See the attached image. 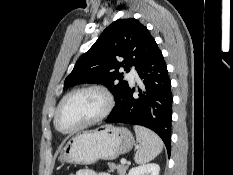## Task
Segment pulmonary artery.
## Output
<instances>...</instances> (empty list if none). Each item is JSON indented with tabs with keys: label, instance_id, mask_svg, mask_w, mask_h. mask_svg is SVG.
Instances as JSON below:
<instances>
[{
	"label": "pulmonary artery",
	"instance_id": "e3ab8cb5",
	"mask_svg": "<svg viewBox=\"0 0 233 175\" xmlns=\"http://www.w3.org/2000/svg\"><path fill=\"white\" fill-rule=\"evenodd\" d=\"M127 77L131 82L139 79L138 74L134 69L130 70V72L127 74Z\"/></svg>",
	"mask_w": 233,
	"mask_h": 175
}]
</instances>
